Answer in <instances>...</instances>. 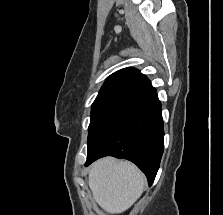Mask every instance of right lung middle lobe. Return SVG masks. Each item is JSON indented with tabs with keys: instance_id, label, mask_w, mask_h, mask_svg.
<instances>
[{
	"instance_id": "1",
	"label": "right lung middle lobe",
	"mask_w": 223,
	"mask_h": 215,
	"mask_svg": "<svg viewBox=\"0 0 223 215\" xmlns=\"http://www.w3.org/2000/svg\"><path fill=\"white\" fill-rule=\"evenodd\" d=\"M145 98L124 91L97 96L91 108L87 154L92 152L111 129Z\"/></svg>"
}]
</instances>
